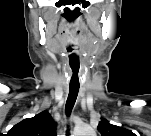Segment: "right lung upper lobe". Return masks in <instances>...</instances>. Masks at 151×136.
<instances>
[{
	"mask_svg": "<svg viewBox=\"0 0 151 136\" xmlns=\"http://www.w3.org/2000/svg\"><path fill=\"white\" fill-rule=\"evenodd\" d=\"M13 136H56V123L47 111L26 118L10 130Z\"/></svg>",
	"mask_w": 151,
	"mask_h": 136,
	"instance_id": "right-lung-upper-lobe-1",
	"label": "right lung upper lobe"
}]
</instances>
